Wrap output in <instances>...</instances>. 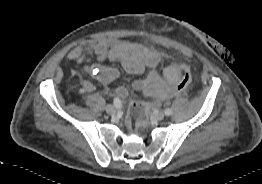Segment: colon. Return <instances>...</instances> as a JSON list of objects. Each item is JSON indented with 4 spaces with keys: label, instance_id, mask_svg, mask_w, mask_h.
Listing matches in <instances>:
<instances>
[{
    "label": "colon",
    "instance_id": "1",
    "mask_svg": "<svg viewBox=\"0 0 262 184\" xmlns=\"http://www.w3.org/2000/svg\"><path fill=\"white\" fill-rule=\"evenodd\" d=\"M173 58V57H172ZM180 68L182 70V77L180 81L174 85L172 88H170L162 97V99L166 98H172V97H177L181 95L189 86L192 80V74L190 71V68L182 61H178ZM117 94L124 98L127 96V90L125 87L120 86L117 88ZM139 111V109L137 108Z\"/></svg>",
    "mask_w": 262,
    "mask_h": 184
}]
</instances>
